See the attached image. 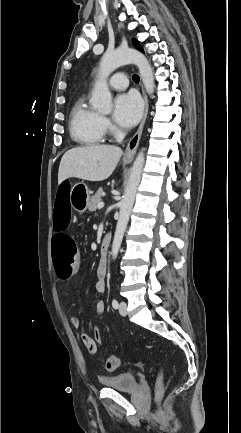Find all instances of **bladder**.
<instances>
[{"label": "bladder", "instance_id": "obj_1", "mask_svg": "<svg viewBox=\"0 0 241 433\" xmlns=\"http://www.w3.org/2000/svg\"><path fill=\"white\" fill-rule=\"evenodd\" d=\"M99 382L106 388L119 391H134L138 387V376L134 372L127 371L114 375L101 376Z\"/></svg>", "mask_w": 241, "mask_h": 433}]
</instances>
